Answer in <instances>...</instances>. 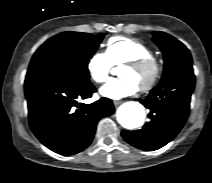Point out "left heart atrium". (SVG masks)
<instances>
[{"instance_id":"39dd6f15","label":"left heart atrium","mask_w":212,"mask_h":183,"mask_svg":"<svg viewBox=\"0 0 212 183\" xmlns=\"http://www.w3.org/2000/svg\"><path fill=\"white\" fill-rule=\"evenodd\" d=\"M138 86L128 79H113L101 87L100 94L106 98L118 100L135 94Z\"/></svg>"}]
</instances>
